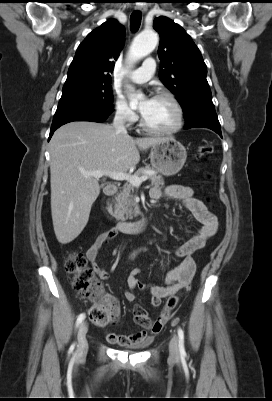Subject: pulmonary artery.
<instances>
[{"mask_svg":"<svg viewBox=\"0 0 272 401\" xmlns=\"http://www.w3.org/2000/svg\"><path fill=\"white\" fill-rule=\"evenodd\" d=\"M155 61L153 59H146L143 62L142 67L134 70L130 74V78L135 83H144L147 82L155 72Z\"/></svg>","mask_w":272,"mask_h":401,"instance_id":"e3ab8cb5","label":"pulmonary artery"}]
</instances>
